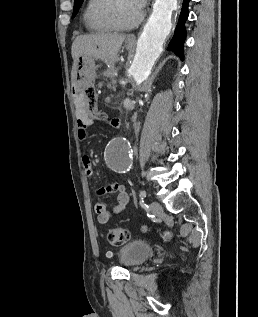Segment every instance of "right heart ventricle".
<instances>
[{
	"label": "right heart ventricle",
	"mask_w": 258,
	"mask_h": 317,
	"mask_svg": "<svg viewBox=\"0 0 258 317\" xmlns=\"http://www.w3.org/2000/svg\"><path fill=\"white\" fill-rule=\"evenodd\" d=\"M105 1L107 0H87L85 3L83 19L86 28L92 33L105 34L112 31L98 17V9Z\"/></svg>",
	"instance_id": "1"
}]
</instances>
